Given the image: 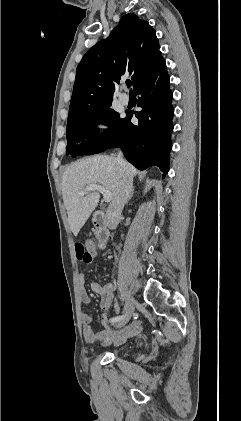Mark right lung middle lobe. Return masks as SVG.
Listing matches in <instances>:
<instances>
[{
	"label": "right lung middle lobe",
	"instance_id": "dd1d6c3e",
	"mask_svg": "<svg viewBox=\"0 0 241 421\" xmlns=\"http://www.w3.org/2000/svg\"><path fill=\"white\" fill-rule=\"evenodd\" d=\"M103 123L109 126V132L99 134L97 125ZM126 118H120L119 113L103 109L94 114L67 122L66 154L92 155L108 149L122 134Z\"/></svg>",
	"mask_w": 241,
	"mask_h": 421
}]
</instances>
